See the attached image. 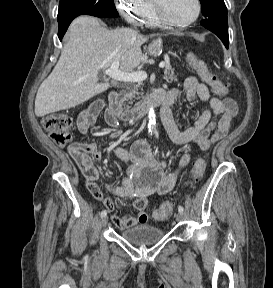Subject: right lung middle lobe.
Here are the masks:
<instances>
[{
    "mask_svg": "<svg viewBox=\"0 0 273 288\" xmlns=\"http://www.w3.org/2000/svg\"><path fill=\"white\" fill-rule=\"evenodd\" d=\"M83 14L96 17L118 16L113 0H60L58 22Z\"/></svg>",
    "mask_w": 273,
    "mask_h": 288,
    "instance_id": "right-lung-middle-lobe-1",
    "label": "right lung middle lobe"
}]
</instances>
